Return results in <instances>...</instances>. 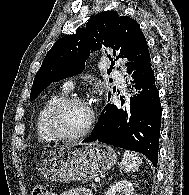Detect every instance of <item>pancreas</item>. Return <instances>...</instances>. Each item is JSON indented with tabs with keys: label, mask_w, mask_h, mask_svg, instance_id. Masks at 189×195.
Masks as SVG:
<instances>
[{
	"label": "pancreas",
	"mask_w": 189,
	"mask_h": 195,
	"mask_svg": "<svg viewBox=\"0 0 189 195\" xmlns=\"http://www.w3.org/2000/svg\"><path fill=\"white\" fill-rule=\"evenodd\" d=\"M92 187L96 188V185L93 184Z\"/></svg>",
	"instance_id": "cf45deb5"
}]
</instances>
